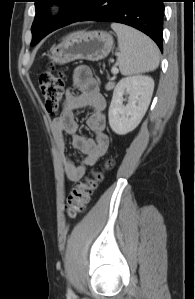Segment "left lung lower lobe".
<instances>
[{
	"instance_id": "obj_1",
	"label": "left lung lower lobe",
	"mask_w": 195,
	"mask_h": 299,
	"mask_svg": "<svg viewBox=\"0 0 195 299\" xmlns=\"http://www.w3.org/2000/svg\"><path fill=\"white\" fill-rule=\"evenodd\" d=\"M165 0H91L78 21H110L132 26L155 41L162 51Z\"/></svg>"
}]
</instances>
